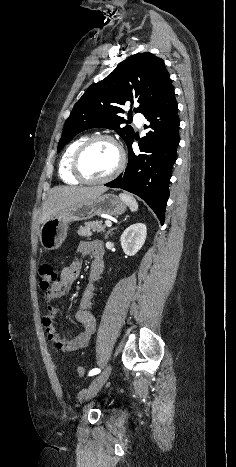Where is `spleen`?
<instances>
[{
    "mask_svg": "<svg viewBox=\"0 0 236 467\" xmlns=\"http://www.w3.org/2000/svg\"><path fill=\"white\" fill-rule=\"evenodd\" d=\"M119 197L126 203L132 212H136L138 210V203L134 197L126 193L119 194Z\"/></svg>",
    "mask_w": 236,
    "mask_h": 467,
    "instance_id": "1",
    "label": "spleen"
}]
</instances>
